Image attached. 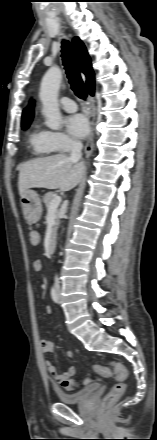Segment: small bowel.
<instances>
[{
  "label": "small bowel",
  "mask_w": 157,
  "mask_h": 440,
  "mask_svg": "<svg viewBox=\"0 0 157 440\" xmlns=\"http://www.w3.org/2000/svg\"><path fill=\"white\" fill-rule=\"evenodd\" d=\"M41 267H35L34 266V270L36 272H39L41 270ZM45 312L47 314H51L52 309L50 306H47L45 309ZM40 345H41V349L44 353H52L55 349V343L52 340L49 339H42L40 341ZM66 356L68 358H73L74 357V351L72 349H68L66 351ZM45 367L46 370L48 371V373L51 375V377L53 378L54 382L57 385H63V382L71 377H73L76 374V367L74 365L70 366L64 373L62 374H58L57 370L55 368V366L53 365V363L51 361H46L45 362Z\"/></svg>",
  "instance_id": "1"
}]
</instances>
